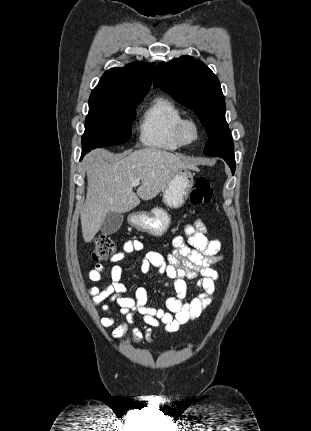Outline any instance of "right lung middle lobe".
Instances as JSON below:
<instances>
[{"mask_svg": "<svg viewBox=\"0 0 311 431\" xmlns=\"http://www.w3.org/2000/svg\"><path fill=\"white\" fill-rule=\"evenodd\" d=\"M144 96L90 95L82 151L124 143L131 136L135 109Z\"/></svg>", "mask_w": 311, "mask_h": 431, "instance_id": "1", "label": "right lung middle lobe"}]
</instances>
